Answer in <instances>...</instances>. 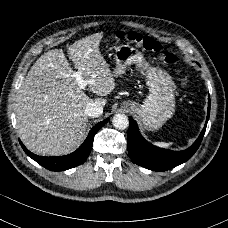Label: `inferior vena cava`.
<instances>
[{"mask_svg":"<svg viewBox=\"0 0 228 228\" xmlns=\"http://www.w3.org/2000/svg\"><path fill=\"white\" fill-rule=\"evenodd\" d=\"M102 113L103 107L97 104V102L88 103L84 110V114L92 118L99 117L100 115H102Z\"/></svg>","mask_w":228,"mask_h":228,"instance_id":"602c4592","label":"inferior vena cava"}]
</instances>
